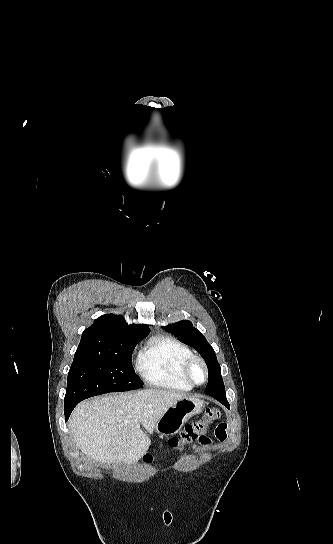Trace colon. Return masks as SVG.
Segmentation results:
<instances>
[{"label":"colon","mask_w":333,"mask_h":544,"mask_svg":"<svg viewBox=\"0 0 333 544\" xmlns=\"http://www.w3.org/2000/svg\"><path fill=\"white\" fill-rule=\"evenodd\" d=\"M220 416L221 412L217 408L210 407L205 409L201 419L186 425L179 436L170 438L163 446L172 450L181 449L185 444L201 438L206 432L208 426L219 419ZM151 459L152 457L149 454L145 455L144 457L146 462H150Z\"/></svg>","instance_id":"1"}]
</instances>
